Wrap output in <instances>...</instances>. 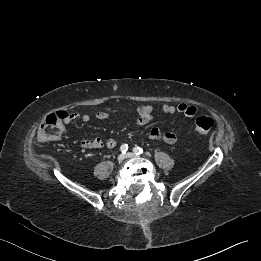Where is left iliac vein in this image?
<instances>
[{"label":"left iliac vein","instance_id":"4c4485c4","mask_svg":"<svg viewBox=\"0 0 261 261\" xmlns=\"http://www.w3.org/2000/svg\"><path fill=\"white\" fill-rule=\"evenodd\" d=\"M126 157H127V158H136L137 155L134 154V153H132V152H129V153H127Z\"/></svg>","mask_w":261,"mask_h":261}]
</instances>
